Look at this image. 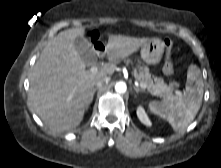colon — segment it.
Segmentation results:
<instances>
[{
    "label": "colon",
    "mask_w": 221,
    "mask_h": 168,
    "mask_svg": "<svg viewBox=\"0 0 221 168\" xmlns=\"http://www.w3.org/2000/svg\"><path fill=\"white\" fill-rule=\"evenodd\" d=\"M165 48H166V61L164 64V72L166 74H172L173 73V65L171 63V49H172V41L169 39H166L164 41ZM181 88V83L179 81H172L170 83V90L172 92H177Z\"/></svg>",
    "instance_id": "obj_1"
}]
</instances>
